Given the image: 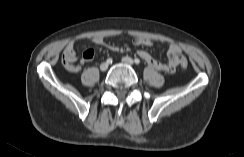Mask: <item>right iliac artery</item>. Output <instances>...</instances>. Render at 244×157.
<instances>
[{"instance_id":"1","label":"right iliac artery","mask_w":244,"mask_h":157,"mask_svg":"<svg viewBox=\"0 0 244 157\" xmlns=\"http://www.w3.org/2000/svg\"><path fill=\"white\" fill-rule=\"evenodd\" d=\"M107 63H108V64L112 63V59H111V58H108V59H107Z\"/></svg>"}]
</instances>
